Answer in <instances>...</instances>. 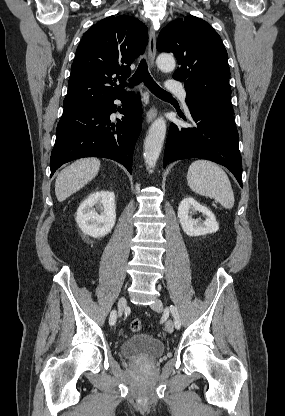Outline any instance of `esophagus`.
<instances>
[{"instance_id":"esophagus-1","label":"esophagus","mask_w":285,"mask_h":416,"mask_svg":"<svg viewBox=\"0 0 285 416\" xmlns=\"http://www.w3.org/2000/svg\"><path fill=\"white\" fill-rule=\"evenodd\" d=\"M155 55H156V35L153 26L149 31V45H148V58L151 69L155 68ZM157 115V109L151 107L146 114V122L150 123L154 120Z\"/></svg>"}]
</instances>
